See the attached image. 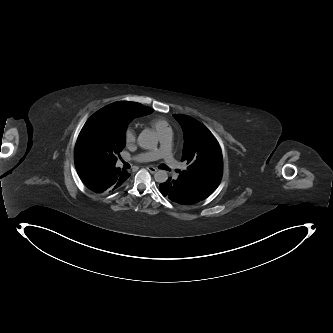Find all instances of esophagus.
<instances>
[{"instance_id":"obj_1","label":"esophagus","mask_w":333,"mask_h":333,"mask_svg":"<svg viewBox=\"0 0 333 333\" xmlns=\"http://www.w3.org/2000/svg\"><path fill=\"white\" fill-rule=\"evenodd\" d=\"M147 169L151 172V173H155L157 172V168L153 167V166H148Z\"/></svg>"}]
</instances>
